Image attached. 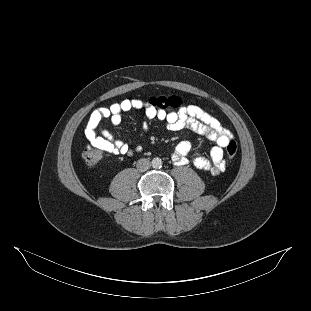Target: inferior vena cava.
Instances as JSON below:
<instances>
[{
	"label": "inferior vena cava",
	"instance_id": "1",
	"mask_svg": "<svg viewBox=\"0 0 311 311\" xmlns=\"http://www.w3.org/2000/svg\"><path fill=\"white\" fill-rule=\"evenodd\" d=\"M136 167L139 171L145 172L151 167V163L148 159L142 158L137 161Z\"/></svg>",
	"mask_w": 311,
	"mask_h": 311
}]
</instances>
